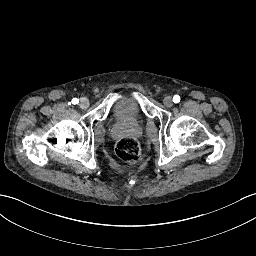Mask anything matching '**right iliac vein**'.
Segmentation results:
<instances>
[{
  "mask_svg": "<svg viewBox=\"0 0 256 256\" xmlns=\"http://www.w3.org/2000/svg\"><path fill=\"white\" fill-rule=\"evenodd\" d=\"M80 107L81 109H87L89 107V100L85 97L80 99Z\"/></svg>",
  "mask_w": 256,
  "mask_h": 256,
  "instance_id": "obj_1",
  "label": "right iliac vein"
}]
</instances>
